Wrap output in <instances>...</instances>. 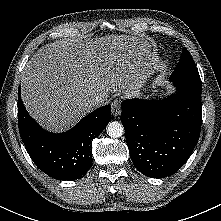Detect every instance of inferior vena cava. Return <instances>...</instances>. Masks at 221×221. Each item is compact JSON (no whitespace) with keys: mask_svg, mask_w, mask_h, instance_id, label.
<instances>
[{"mask_svg":"<svg viewBox=\"0 0 221 221\" xmlns=\"http://www.w3.org/2000/svg\"><path fill=\"white\" fill-rule=\"evenodd\" d=\"M88 104L90 107H99L104 104V101L99 97L90 98L88 100Z\"/></svg>","mask_w":221,"mask_h":221,"instance_id":"obj_1","label":"inferior vena cava"}]
</instances>
